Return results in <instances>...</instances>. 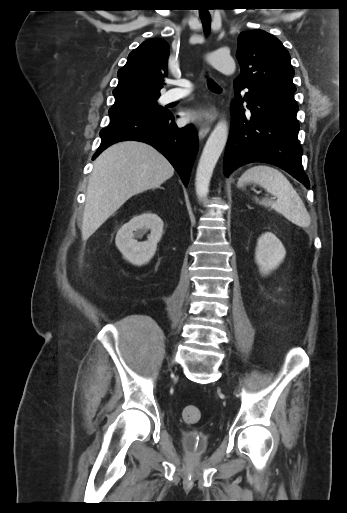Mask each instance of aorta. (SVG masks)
<instances>
[{"label":"aorta","instance_id":"762f6f07","mask_svg":"<svg viewBox=\"0 0 347 513\" xmlns=\"http://www.w3.org/2000/svg\"><path fill=\"white\" fill-rule=\"evenodd\" d=\"M207 61L224 75H232L235 72L236 64L229 53L213 51L207 56ZM229 134L226 121H220L211 132L203 152L201 154L195 177L196 194L199 200L204 201L209 192L210 180L223 152Z\"/></svg>","mask_w":347,"mask_h":513}]
</instances>
